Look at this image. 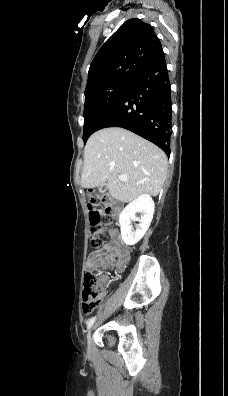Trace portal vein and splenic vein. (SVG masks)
I'll list each match as a JSON object with an SVG mask.
<instances>
[{
    "label": "portal vein and splenic vein",
    "mask_w": 228,
    "mask_h": 396,
    "mask_svg": "<svg viewBox=\"0 0 228 396\" xmlns=\"http://www.w3.org/2000/svg\"><path fill=\"white\" fill-rule=\"evenodd\" d=\"M118 178L121 181H126L127 180V177L125 175H119Z\"/></svg>",
    "instance_id": "1"
}]
</instances>
